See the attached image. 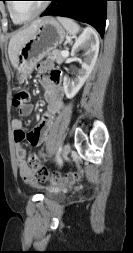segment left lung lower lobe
Wrapping results in <instances>:
<instances>
[{"label":"left lung lower lobe","instance_id":"left-lung-lower-lobe-1","mask_svg":"<svg viewBox=\"0 0 133 253\" xmlns=\"http://www.w3.org/2000/svg\"><path fill=\"white\" fill-rule=\"evenodd\" d=\"M49 7L41 14L58 15L92 25L103 37L108 0H50Z\"/></svg>","mask_w":133,"mask_h":253}]
</instances>
